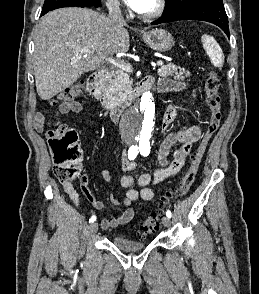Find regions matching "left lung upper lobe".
<instances>
[{"mask_svg":"<svg viewBox=\"0 0 259 294\" xmlns=\"http://www.w3.org/2000/svg\"><path fill=\"white\" fill-rule=\"evenodd\" d=\"M201 3H214L223 5L222 0H166V9L163 15H169L185 10Z\"/></svg>","mask_w":259,"mask_h":294,"instance_id":"5c2ea615","label":"left lung upper lobe"}]
</instances>
